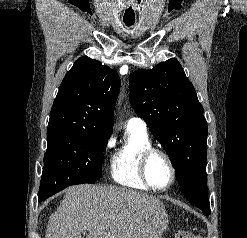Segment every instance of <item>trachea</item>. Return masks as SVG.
Wrapping results in <instances>:
<instances>
[{"mask_svg": "<svg viewBox=\"0 0 247 238\" xmlns=\"http://www.w3.org/2000/svg\"><path fill=\"white\" fill-rule=\"evenodd\" d=\"M124 23L127 25V26H132L134 24V21H124Z\"/></svg>", "mask_w": 247, "mask_h": 238, "instance_id": "3493384b", "label": "trachea"}]
</instances>
